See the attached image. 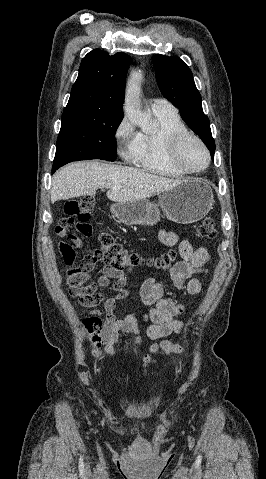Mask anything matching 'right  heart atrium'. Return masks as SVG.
Here are the masks:
<instances>
[{
  "label": "right heart atrium",
  "instance_id": "right-heart-atrium-1",
  "mask_svg": "<svg viewBox=\"0 0 266 479\" xmlns=\"http://www.w3.org/2000/svg\"><path fill=\"white\" fill-rule=\"evenodd\" d=\"M136 139L137 133L135 132L133 124L127 117L123 118L115 130L114 140L120 154L126 160H133L137 147Z\"/></svg>",
  "mask_w": 266,
  "mask_h": 479
}]
</instances>
